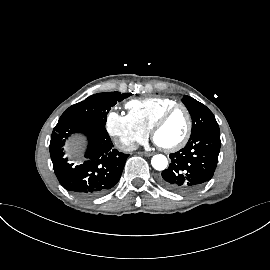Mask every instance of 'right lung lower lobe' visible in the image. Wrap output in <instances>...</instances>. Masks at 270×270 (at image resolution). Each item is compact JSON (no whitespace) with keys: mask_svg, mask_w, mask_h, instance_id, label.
<instances>
[{"mask_svg":"<svg viewBox=\"0 0 270 270\" xmlns=\"http://www.w3.org/2000/svg\"><path fill=\"white\" fill-rule=\"evenodd\" d=\"M81 133L87 137L85 161L72 167L64 158L65 139ZM50 155L55 175L68 191L81 197L99 196L112 188L120 179L128 154L113 148L105 126L90 120L58 122L50 141Z\"/></svg>","mask_w":270,"mask_h":270,"instance_id":"1","label":"right lung lower lobe"}]
</instances>
